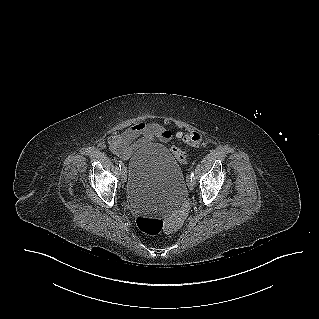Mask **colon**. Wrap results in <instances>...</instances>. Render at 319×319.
Returning <instances> with one entry per match:
<instances>
[{
    "label": "colon",
    "instance_id": "1",
    "mask_svg": "<svg viewBox=\"0 0 319 319\" xmlns=\"http://www.w3.org/2000/svg\"><path fill=\"white\" fill-rule=\"evenodd\" d=\"M176 136L190 146H200L204 144L206 139L205 132L196 128L187 129L180 127L176 131ZM170 150L180 164L184 165L187 163V154L183 149L171 146ZM136 225L140 232L149 236L158 235L165 229V223L161 219L148 216L138 217Z\"/></svg>",
    "mask_w": 319,
    "mask_h": 319
}]
</instances>
